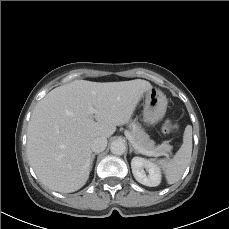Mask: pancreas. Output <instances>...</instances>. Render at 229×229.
<instances>
[{"label": "pancreas", "instance_id": "cf45deb5", "mask_svg": "<svg viewBox=\"0 0 229 229\" xmlns=\"http://www.w3.org/2000/svg\"><path fill=\"white\" fill-rule=\"evenodd\" d=\"M130 134L134 138V140L144 149L153 150L159 154L168 156V152L171 151L172 147L164 142L161 145L155 147L154 141L151 140L148 134L141 128V126L135 122L129 125Z\"/></svg>", "mask_w": 229, "mask_h": 229}]
</instances>
